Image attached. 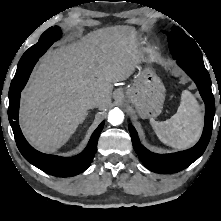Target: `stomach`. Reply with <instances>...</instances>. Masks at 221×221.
Segmentation results:
<instances>
[{"instance_id":"0dacf381","label":"stomach","mask_w":221,"mask_h":221,"mask_svg":"<svg viewBox=\"0 0 221 221\" xmlns=\"http://www.w3.org/2000/svg\"><path fill=\"white\" fill-rule=\"evenodd\" d=\"M145 61L152 64L154 59ZM165 92L162 81L149 65L136 75L133 85L126 91V99L134 105L140 117L153 118L162 112Z\"/></svg>"}]
</instances>
